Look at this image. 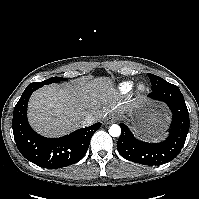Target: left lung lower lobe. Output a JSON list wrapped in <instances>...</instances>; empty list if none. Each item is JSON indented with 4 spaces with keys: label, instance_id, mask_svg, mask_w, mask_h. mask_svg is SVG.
<instances>
[{
    "label": "left lung lower lobe",
    "instance_id": "1",
    "mask_svg": "<svg viewBox=\"0 0 199 199\" xmlns=\"http://www.w3.org/2000/svg\"><path fill=\"white\" fill-rule=\"evenodd\" d=\"M153 100L165 102L172 111L173 119L169 137L161 143H145L136 139L129 128L121 123V135L117 149L127 160L145 164L160 165L174 159L184 146L189 131V113L180 89L176 86L148 95Z\"/></svg>",
    "mask_w": 199,
    "mask_h": 199
}]
</instances>
